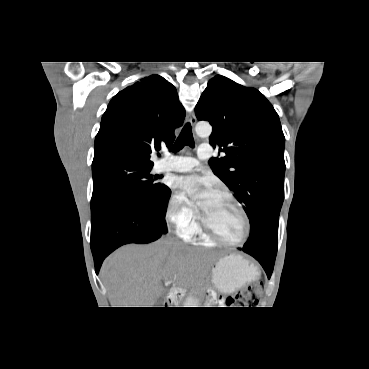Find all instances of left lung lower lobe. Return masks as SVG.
Masks as SVG:
<instances>
[{
    "instance_id": "1",
    "label": "left lung lower lobe",
    "mask_w": 369,
    "mask_h": 369,
    "mask_svg": "<svg viewBox=\"0 0 369 369\" xmlns=\"http://www.w3.org/2000/svg\"><path fill=\"white\" fill-rule=\"evenodd\" d=\"M240 250L250 254L257 261H259V263L264 268L268 278H270L272 271H273V267H274L276 253L267 252V251H254V250H249L244 247L240 248Z\"/></svg>"
}]
</instances>
